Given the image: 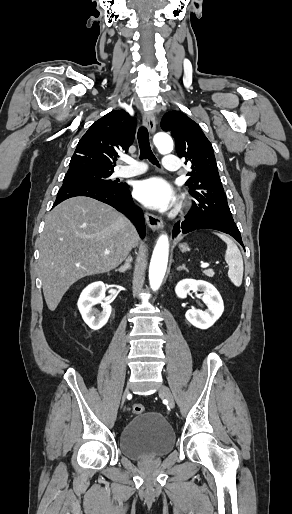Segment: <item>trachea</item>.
<instances>
[{"label": "trachea", "mask_w": 292, "mask_h": 514, "mask_svg": "<svg viewBox=\"0 0 292 514\" xmlns=\"http://www.w3.org/2000/svg\"><path fill=\"white\" fill-rule=\"evenodd\" d=\"M137 138L140 148V159H148L152 164L159 167V162L150 147L149 133L146 127L142 126L139 128Z\"/></svg>", "instance_id": "trachea-1"}]
</instances>
